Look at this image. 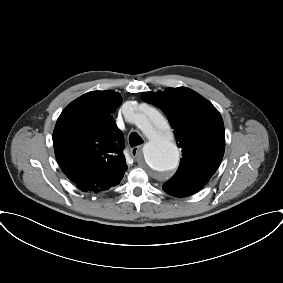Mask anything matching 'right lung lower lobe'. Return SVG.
Segmentation results:
<instances>
[{
  "instance_id": "1",
  "label": "right lung lower lobe",
  "mask_w": 283,
  "mask_h": 283,
  "mask_svg": "<svg viewBox=\"0 0 283 283\" xmlns=\"http://www.w3.org/2000/svg\"><path fill=\"white\" fill-rule=\"evenodd\" d=\"M60 166H61L62 169H64V168L65 169L72 168V167H69V165H67V164H63V165L60 164ZM94 191H101V189L95 188Z\"/></svg>"
}]
</instances>
